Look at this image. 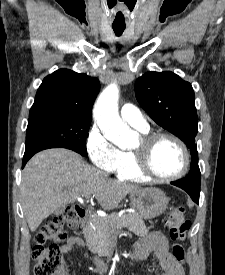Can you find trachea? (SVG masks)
<instances>
[{"label":"trachea","instance_id":"3493384b","mask_svg":"<svg viewBox=\"0 0 225 275\" xmlns=\"http://www.w3.org/2000/svg\"><path fill=\"white\" fill-rule=\"evenodd\" d=\"M113 30L117 36H120L124 32L125 27H113Z\"/></svg>","mask_w":225,"mask_h":275}]
</instances>
